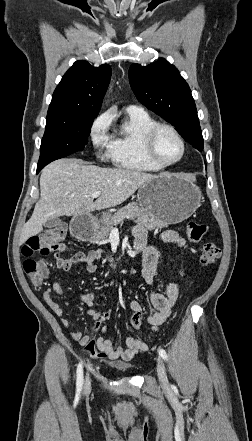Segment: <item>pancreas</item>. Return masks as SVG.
<instances>
[{"label": "pancreas", "mask_w": 252, "mask_h": 441, "mask_svg": "<svg viewBox=\"0 0 252 441\" xmlns=\"http://www.w3.org/2000/svg\"><path fill=\"white\" fill-rule=\"evenodd\" d=\"M127 216L136 218L135 222L142 224L148 230L162 229L168 227V224L166 222L149 217L144 212V210L138 206L137 203H130L115 212L114 215L110 216L106 222H103V225L97 232L94 240L98 242L106 241L113 227L122 223ZM112 260L113 259L111 258L110 261Z\"/></svg>", "instance_id": "1"}]
</instances>
